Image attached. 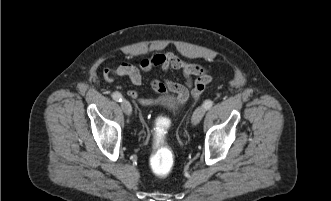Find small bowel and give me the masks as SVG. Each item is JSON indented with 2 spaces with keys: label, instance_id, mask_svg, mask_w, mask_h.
<instances>
[{
  "label": "small bowel",
  "instance_id": "small-bowel-1",
  "mask_svg": "<svg viewBox=\"0 0 331 201\" xmlns=\"http://www.w3.org/2000/svg\"><path fill=\"white\" fill-rule=\"evenodd\" d=\"M154 68H159L163 72L171 70L181 71L186 79V84H180L168 79L151 81L152 89L159 94L173 92L177 97L184 101L189 96V90L193 87V77L208 75L206 70L199 65L184 61L174 53L155 54L145 58L140 63V68L128 63L122 62L113 69H106L103 73L107 81H112L115 77H127L132 85L140 86L143 82L142 73H148ZM129 96L141 103L146 101L138 98L136 90H130Z\"/></svg>",
  "mask_w": 331,
  "mask_h": 201
}]
</instances>
